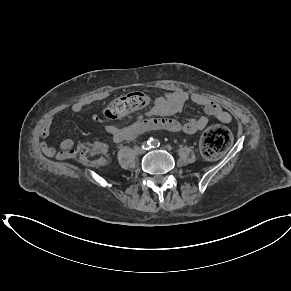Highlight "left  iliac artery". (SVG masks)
<instances>
[{"label": "left iliac artery", "mask_w": 291, "mask_h": 291, "mask_svg": "<svg viewBox=\"0 0 291 291\" xmlns=\"http://www.w3.org/2000/svg\"><path fill=\"white\" fill-rule=\"evenodd\" d=\"M151 145H152L153 148H156V147H159L160 142H159V140L152 138L151 139Z\"/></svg>", "instance_id": "1"}]
</instances>
